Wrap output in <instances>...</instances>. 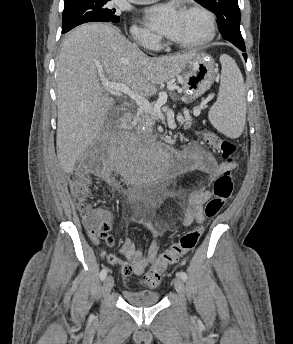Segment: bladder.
I'll return each mask as SVG.
<instances>
[{"instance_id": "31cf9c89", "label": "bladder", "mask_w": 293, "mask_h": 344, "mask_svg": "<svg viewBox=\"0 0 293 344\" xmlns=\"http://www.w3.org/2000/svg\"><path fill=\"white\" fill-rule=\"evenodd\" d=\"M122 295L126 302L137 307L154 306L160 301L158 292L124 289Z\"/></svg>"}]
</instances>
